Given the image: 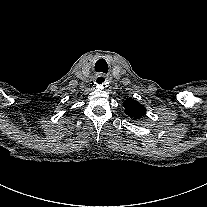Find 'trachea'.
Instances as JSON below:
<instances>
[{
    "label": "trachea",
    "instance_id": "3493384b",
    "mask_svg": "<svg viewBox=\"0 0 207 207\" xmlns=\"http://www.w3.org/2000/svg\"><path fill=\"white\" fill-rule=\"evenodd\" d=\"M96 65L102 66V67H106L107 63L104 59H99L96 63Z\"/></svg>",
    "mask_w": 207,
    "mask_h": 207
}]
</instances>
